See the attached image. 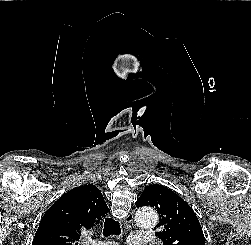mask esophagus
Here are the masks:
<instances>
[{
    "label": "esophagus",
    "instance_id": "1",
    "mask_svg": "<svg viewBox=\"0 0 251 245\" xmlns=\"http://www.w3.org/2000/svg\"><path fill=\"white\" fill-rule=\"evenodd\" d=\"M134 221V211L132 210L124 219V224H131Z\"/></svg>",
    "mask_w": 251,
    "mask_h": 245
}]
</instances>
